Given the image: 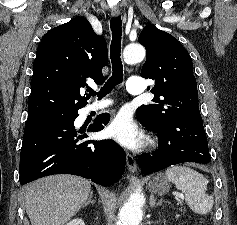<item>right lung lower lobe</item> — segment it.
<instances>
[{"label":"right lung lower lobe","instance_id":"1","mask_svg":"<svg viewBox=\"0 0 237 225\" xmlns=\"http://www.w3.org/2000/svg\"><path fill=\"white\" fill-rule=\"evenodd\" d=\"M78 109L28 117L20 154L21 184L53 174H73L110 186L123 175L126 156L112 140L85 141L84 130L76 131ZM110 115H99L88 132L100 131Z\"/></svg>","mask_w":237,"mask_h":225}]
</instances>
